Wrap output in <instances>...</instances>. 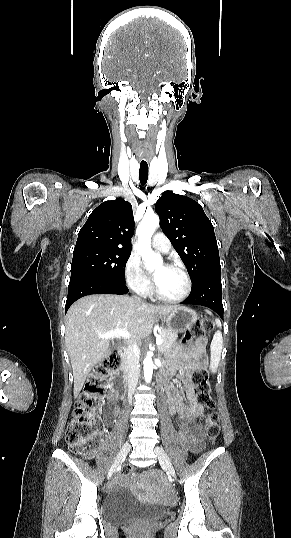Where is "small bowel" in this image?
<instances>
[{
  "label": "small bowel",
  "instance_id": "small-bowel-1",
  "mask_svg": "<svg viewBox=\"0 0 291 538\" xmlns=\"http://www.w3.org/2000/svg\"><path fill=\"white\" fill-rule=\"evenodd\" d=\"M202 340L199 342L201 346ZM195 355L192 353H183L177 359L172 367V372H178L184 385L185 392L182 397L174 390L171 385H164L169 400V413L178 416L179 436L185 443L188 451L198 453L204 445V433L193 422L194 417L202 414L203 407L196 400L195 387L190 381L194 368ZM183 398L184 402L181 401ZM120 412L117 405V397L110 386L107 394L106 418L108 422L112 417Z\"/></svg>",
  "mask_w": 291,
  "mask_h": 538
}]
</instances>
